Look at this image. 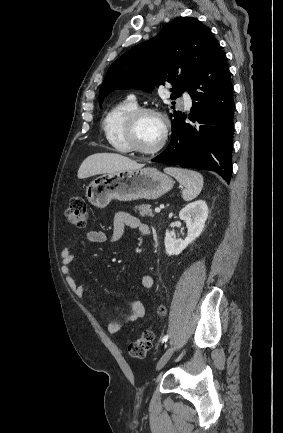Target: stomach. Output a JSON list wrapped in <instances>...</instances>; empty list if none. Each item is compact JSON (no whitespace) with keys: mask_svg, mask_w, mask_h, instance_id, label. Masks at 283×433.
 <instances>
[{"mask_svg":"<svg viewBox=\"0 0 283 433\" xmlns=\"http://www.w3.org/2000/svg\"><path fill=\"white\" fill-rule=\"evenodd\" d=\"M173 186V180L157 168H138V170H119L107 172L94 178L86 186L89 202L104 208L110 200H154Z\"/></svg>","mask_w":283,"mask_h":433,"instance_id":"1","label":"stomach"}]
</instances>
